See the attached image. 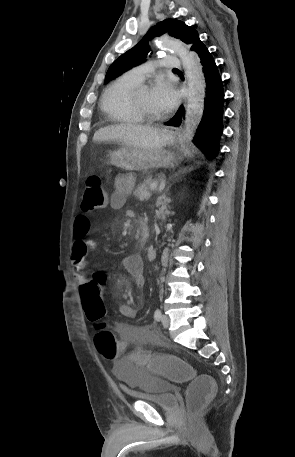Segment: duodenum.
Segmentation results:
<instances>
[{
    "mask_svg": "<svg viewBox=\"0 0 295 457\" xmlns=\"http://www.w3.org/2000/svg\"><path fill=\"white\" fill-rule=\"evenodd\" d=\"M138 228H139V233H140V241L142 243H144L147 241V239L149 238V235H150L149 226L143 219H140L138 221Z\"/></svg>",
    "mask_w": 295,
    "mask_h": 457,
    "instance_id": "1",
    "label": "duodenum"
}]
</instances>
